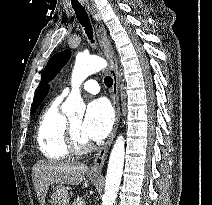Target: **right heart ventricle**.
<instances>
[{
    "label": "right heart ventricle",
    "mask_w": 212,
    "mask_h": 205,
    "mask_svg": "<svg viewBox=\"0 0 212 205\" xmlns=\"http://www.w3.org/2000/svg\"><path fill=\"white\" fill-rule=\"evenodd\" d=\"M61 98L53 100L43 111L37 125V144L42 154L52 160H63L71 152L66 142L67 118L61 112Z\"/></svg>",
    "instance_id": "1"
}]
</instances>
